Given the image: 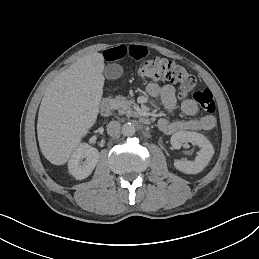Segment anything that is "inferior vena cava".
<instances>
[{
	"instance_id": "1",
	"label": "inferior vena cava",
	"mask_w": 259,
	"mask_h": 259,
	"mask_svg": "<svg viewBox=\"0 0 259 259\" xmlns=\"http://www.w3.org/2000/svg\"><path fill=\"white\" fill-rule=\"evenodd\" d=\"M107 133L113 138H119L121 133L120 123L117 121H111L107 125Z\"/></svg>"
}]
</instances>
